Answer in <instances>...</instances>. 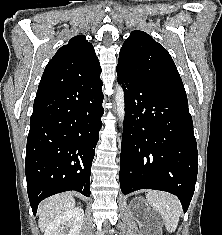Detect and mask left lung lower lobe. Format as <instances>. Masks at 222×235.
<instances>
[{"label": "left lung lower lobe", "instance_id": "1", "mask_svg": "<svg viewBox=\"0 0 222 235\" xmlns=\"http://www.w3.org/2000/svg\"><path fill=\"white\" fill-rule=\"evenodd\" d=\"M125 99L120 155V187L170 192L184 212L198 172L197 144L186 98L140 80L117 67Z\"/></svg>", "mask_w": 222, "mask_h": 235}]
</instances>
